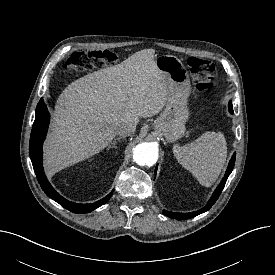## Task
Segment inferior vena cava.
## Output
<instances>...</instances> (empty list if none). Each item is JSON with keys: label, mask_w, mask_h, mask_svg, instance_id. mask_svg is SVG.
<instances>
[{"label": "inferior vena cava", "mask_w": 275, "mask_h": 275, "mask_svg": "<svg viewBox=\"0 0 275 275\" xmlns=\"http://www.w3.org/2000/svg\"><path fill=\"white\" fill-rule=\"evenodd\" d=\"M136 127L131 123H120L115 128L116 134L119 136L127 137L135 133Z\"/></svg>", "instance_id": "obj_1"}]
</instances>
